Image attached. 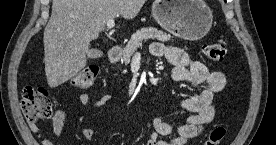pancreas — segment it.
Segmentation results:
<instances>
[{
    "mask_svg": "<svg viewBox=\"0 0 276 145\" xmlns=\"http://www.w3.org/2000/svg\"><path fill=\"white\" fill-rule=\"evenodd\" d=\"M171 38V35L166 34L159 29L153 27L142 28L131 36L128 44L123 49V61L125 62V64H129L132 55L137 51L140 46H142L143 42H146L150 39H157L161 42H167Z\"/></svg>",
    "mask_w": 276,
    "mask_h": 145,
    "instance_id": "cf45deb5",
    "label": "pancreas"
}]
</instances>
